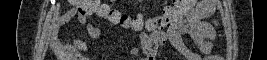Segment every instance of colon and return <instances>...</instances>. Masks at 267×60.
Segmentation results:
<instances>
[{
    "label": "colon",
    "mask_w": 267,
    "mask_h": 60,
    "mask_svg": "<svg viewBox=\"0 0 267 60\" xmlns=\"http://www.w3.org/2000/svg\"><path fill=\"white\" fill-rule=\"evenodd\" d=\"M74 2L78 5V11L82 15L96 16L101 20L124 29H146L150 32L177 26L188 12L191 3L190 0H176L171 6L164 9L158 17L143 21L121 12L118 8L105 1L76 0Z\"/></svg>",
    "instance_id": "colon-1"
}]
</instances>
